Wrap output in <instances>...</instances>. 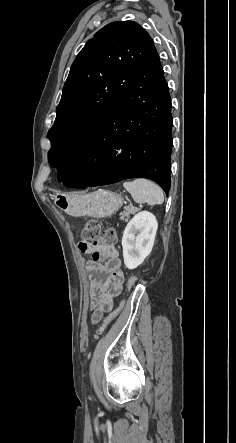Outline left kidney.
Here are the masks:
<instances>
[{"label": "left kidney", "instance_id": "obj_1", "mask_svg": "<svg viewBox=\"0 0 236 443\" xmlns=\"http://www.w3.org/2000/svg\"><path fill=\"white\" fill-rule=\"evenodd\" d=\"M157 229L158 222L148 211L139 212L127 224L122 247L124 264L128 269L137 268L151 253Z\"/></svg>", "mask_w": 236, "mask_h": 443}]
</instances>
